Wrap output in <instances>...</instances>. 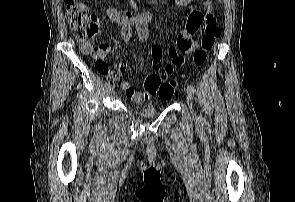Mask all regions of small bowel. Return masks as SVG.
Wrapping results in <instances>:
<instances>
[{
	"label": "small bowel",
	"instance_id": "c3829d8e",
	"mask_svg": "<svg viewBox=\"0 0 295 202\" xmlns=\"http://www.w3.org/2000/svg\"><path fill=\"white\" fill-rule=\"evenodd\" d=\"M190 0H179L181 5H186ZM203 13L198 8L194 7L187 20V25L184 30H182L176 40L175 47H169L164 49L161 45L151 46L149 52L152 58V63L155 67H160L162 64L163 57L167 59V64L161 68L160 75L163 77H168L174 67L179 65L180 55L179 51L191 52L194 49V41L192 35L201 27L208 23H215L216 18L214 15V6L211 0L204 1ZM107 17L110 22L118 24L121 27V37L125 42H129L132 37V27H135L140 40L145 41L148 39V25L151 21L152 16L149 13H140L135 15L131 10L120 9L116 7L109 8L107 10ZM92 19L98 27L99 18L96 14H92ZM86 53H92L97 59H104L108 53L109 48L107 45H92L89 44L81 48ZM114 72H108L103 64L97 65V70L101 73L107 75V78L112 82L119 83L121 88L125 91L129 100L135 104L142 103L149 100L155 93L153 90H142L135 91L131 85L126 81H121V74L125 68V63H114ZM149 74L146 79L149 78Z\"/></svg>",
	"mask_w": 295,
	"mask_h": 202
}]
</instances>
